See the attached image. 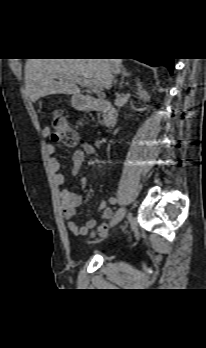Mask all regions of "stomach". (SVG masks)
Instances as JSON below:
<instances>
[{
  "mask_svg": "<svg viewBox=\"0 0 206 348\" xmlns=\"http://www.w3.org/2000/svg\"><path fill=\"white\" fill-rule=\"evenodd\" d=\"M71 102H72V104H73L74 106H76V107H79V106H80V103H79V101H78V99H77L76 96H73V97H72Z\"/></svg>",
  "mask_w": 206,
  "mask_h": 348,
  "instance_id": "stomach-1",
  "label": "stomach"
}]
</instances>
